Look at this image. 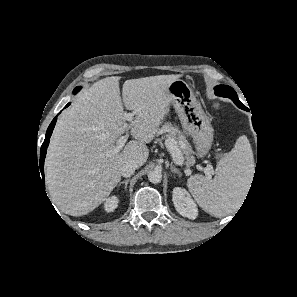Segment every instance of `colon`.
Here are the masks:
<instances>
[{
    "label": "colon",
    "instance_id": "5ec220e1",
    "mask_svg": "<svg viewBox=\"0 0 297 297\" xmlns=\"http://www.w3.org/2000/svg\"><path fill=\"white\" fill-rule=\"evenodd\" d=\"M214 107H215V108H218V104H217V103H215V104H214Z\"/></svg>",
    "mask_w": 297,
    "mask_h": 297
}]
</instances>
